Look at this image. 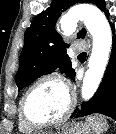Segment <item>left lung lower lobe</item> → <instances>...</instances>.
Segmentation results:
<instances>
[{
    "instance_id": "1",
    "label": "left lung lower lobe",
    "mask_w": 116,
    "mask_h": 134,
    "mask_svg": "<svg viewBox=\"0 0 116 134\" xmlns=\"http://www.w3.org/2000/svg\"><path fill=\"white\" fill-rule=\"evenodd\" d=\"M109 17V12H105ZM114 33V24L110 23ZM75 77V76H74ZM74 77L72 79H74ZM101 113L116 120V37L113 36L112 52L102 82L94 96L76 108L71 117H84Z\"/></svg>"
}]
</instances>
